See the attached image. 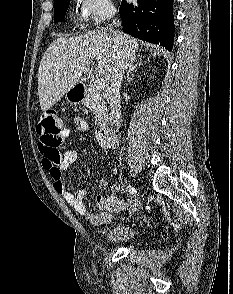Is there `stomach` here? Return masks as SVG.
Listing matches in <instances>:
<instances>
[{
    "label": "stomach",
    "instance_id": "1",
    "mask_svg": "<svg viewBox=\"0 0 233 294\" xmlns=\"http://www.w3.org/2000/svg\"><path fill=\"white\" fill-rule=\"evenodd\" d=\"M66 97L68 99V101L70 102H79L82 101L83 96L81 94H79L78 90L75 88H72L71 90H69L66 93Z\"/></svg>",
    "mask_w": 233,
    "mask_h": 294
}]
</instances>
